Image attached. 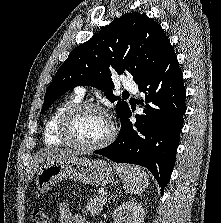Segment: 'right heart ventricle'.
Returning <instances> with one entry per match:
<instances>
[{
	"instance_id": "e07e8e85",
	"label": "right heart ventricle",
	"mask_w": 221,
	"mask_h": 223,
	"mask_svg": "<svg viewBox=\"0 0 221 223\" xmlns=\"http://www.w3.org/2000/svg\"><path fill=\"white\" fill-rule=\"evenodd\" d=\"M80 102H82V96L75 92L66 96L56 105L43 128V139L47 145H60L64 143L57 135L60 118L67 108Z\"/></svg>"
}]
</instances>
